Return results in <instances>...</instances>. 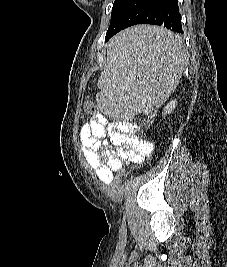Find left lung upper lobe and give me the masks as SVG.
Masks as SVG:
<instances>
[{
  "label": "left lung upper lobe",
  "mask_w": 227,
  "mask_h": 267,
  "mask_svg": "<svg viewBox=\"0 0 227 267\" xmlns=\"http://www.w3.org/2000/svg\"><path fill=\"white\" fill-rule=\"evenodd\" d=\"M128 0H115L112 8V13L119 9L123 4H125ZM111 13V14H112Z\"/></svg>",
  "instance_id": "left-lung-upper-lobe-1"
}]
</instances>
